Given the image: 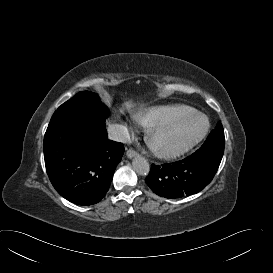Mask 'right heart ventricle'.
Listing matches in <instances>:
<instances>
[{
  "label": "right heart ventricle",
  "mask_w": 273,
  "mask_h": 273,
  "mask_svg": "<svg viewBox=\"0 0 273 273\" xmlns=\"http://www.w3.org/2000/svg\"><path fill=\"white\" fill-rule=\"evenodd\" d=\"M192 111L191 107L182 104L160 106L139 115L137 119L144 127L151 128L171 124Z\"/></svg>",
  "instance_id": "right-heart-ventricle-1"
}]
</instances>
